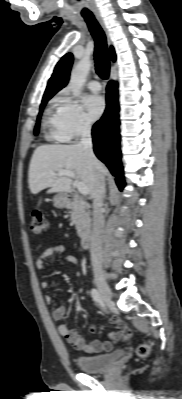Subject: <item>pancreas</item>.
Listing matches in <instances>:
<instances>
[{"mask_svg": "<svg viewBox=\"0 0 182 399\" xmlns=\"http://www.w3.org/2000/svg\"><path fill=\"white\" fill-rule=\"evenodd\" d=\"M71 217L76 226L78 236L84 238L89 232L91 219L88 206L82 199L77 198L71 205Z\"/></svg>", "mask_w": 182, "mask_h": 399, "instance_id": "cf45deb5", "label": "pancreas"}]
</instances>
